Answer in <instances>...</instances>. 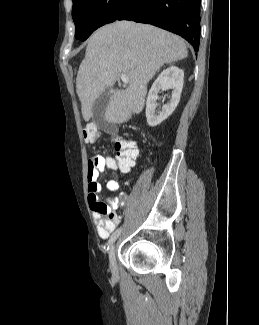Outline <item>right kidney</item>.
Masks as SVG:
<instances>
[{"instance_id": "1", "label": "right kidney", "mask_w": 259, "mask_h": 325, "mask_svg": "<svg viewBox=\"0 0 259 325\" xmlns=\"http://www.w3.org/2000/svg\"><path fill=\"white\" fill-rule=\"evenodd\" d=\"M183 82L184 72L176 66H170L159 74L149 90L146 101V118L149 126L155 127L159 125L174 112L180 101ZM168 89H172L170 102L163 105L162 111L156 115L158 93L160 90Z\"/></svg>"}]
</instances>
